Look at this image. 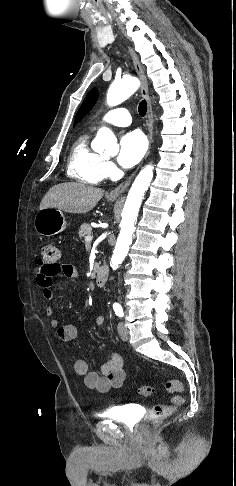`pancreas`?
Returning a JSON list of instances; mask_svg holds the SVG:
<instances>
[{"label": "pancreas", "instance_id": "pancreas-1", "mask_svg": "<svg viewBox=\"0 0 236 486\" xmlns=\"http://www.w3.org/2000/svg\"><path fill=\"white\" fill-rule=\"evenodd\" d=\"M91 233H92V227L86 223L81 225L80 229L78 230V235L81 238L87 235H91Z\"/></svg>", "mask_w": 236, "mask_h": 486}]
</instances>
